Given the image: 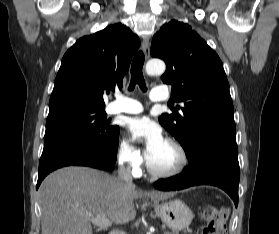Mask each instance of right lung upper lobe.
<instances>
[{
  "mask_svg": "<svg viewBox=\"0 0 279 234\" xmlns=\"http://www.w3.org/2000/svg\"><path fill=\"white\" fill-rule=\"evenodd\" d=\"M139 46V38L121 23L77 40L63 56L50 110L68 106L104 109V91L122 87Z\"/></svg>",
  "mask_w": 279,
  "mask_h": 234,
  "instance_id": "cb5924a9",
  "label": "right lung upper lobe"
}]
</instances>
